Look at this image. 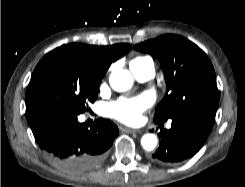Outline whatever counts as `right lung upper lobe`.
Wrapping results in <instances>:
<instances>
[{
    "instance_id": "1",
    "label": "right lung upper lobe",
    "mask_w": 245,
    "mask_h": 187,
    "mask_svg": "<svg viewBox=\"0 0 245 187\" xmlns=\"http://www.w3.org/2000/svg\"><path fill=\"white\" fill-rule=\"evenodd\" d=\"M70 45L79 47L102 74L106 73L112 62L122 57L130 49L129 44L123 43L103 47L89 46L85 44Z\"/></svg>"
}]
</instances>
